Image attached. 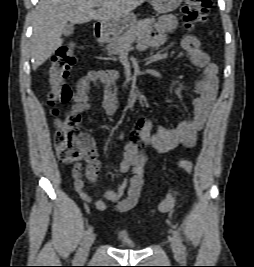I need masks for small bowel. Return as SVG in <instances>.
<instances>
[{
	"label": "small bowel",
	"instance_id": "small-bowel-1",
	"mask_svg": "<svg viewBox=\"0 0 254 267\" xmlns=\"http://www.w3.org/2000/svg\"><path fill=\"white\" fill-rule=\"evenodd\" d=\"M177 20L173 15L161 16L154 25L152 33L140 45L141 49L155 48L166 41V33L173 31ZM183 52L191 63L202 69V74L195 83L197 97L193 101L194 112L190 119L184 120L176 127L167 129L155 125L151 118L140 117L134 124L130 142L125 146L124 156L118 171H131L128 180H122L114 190L101 194V199L93 200L85 190V180L82 168L75 165L72 171L74 188L85 203H93L98 210L106 209V202L115 203L119 212H126L136 206L143 186V165L146 157L138 152L137 144L151 147L158 153H168L177 147L192 148L197 142V134L204 127L210 110L214 104L218 88V67L210 62L208 54L202 49L199 39L193 35H186L181 42ZM118 77L116 70L90 71L77 83L72 97V107L69 115H78L91 109L90 91L92 85L101 83L104 87V96L101 101L106 115H113L118 107L117 89L115 80ZM100 168L98 159L90 161L86 169V179L95 183ZM127 192L126 197L124 196Z\"/></svg>",
	"mask_w": 254,
	"mask_h": 267
}]
</instances>
